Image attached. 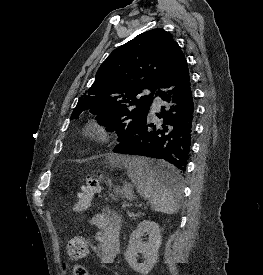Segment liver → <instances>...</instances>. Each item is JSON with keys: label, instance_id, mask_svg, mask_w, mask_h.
I'll return each mask as SVG.
<instances>
[{"label": "liver", "instance_id": "6515ba94", "mask_svg": "<svg viewBox=\"0 0 263 275\" xmlns=\"http://www.w3.org/2000/svg\"><path fill=\"white\" fill-rule=\"evenodd\" d=\"M121 161V158H119V157H117L116 159H115V162L116 163H119Z\"/></svg>", "mask_w": 263, "mask_h": 275}]
</instances>
